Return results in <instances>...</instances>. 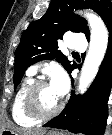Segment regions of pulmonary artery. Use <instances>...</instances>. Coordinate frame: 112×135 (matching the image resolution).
Here are the masks:
<instances>
[{
    "label": "pulmonary artery",
    "instance_id": "1",
    "mask_svg": "<svg viewBox=\"0 0 112 135\" xmlns=\"http://www.w3.org/2000/svg\"><path fill=\"white\" fill-rule=\"evenodd\" d=\"M67 45L71 50L83 52L86 48L87 42L84 36L75 34L69 37ZM38 68L39 65L31 66L27 71L28 75L36 74Z\"/></svg>",
    "mask_w": 112,
    "mask_h": 135
}]
</instances>
